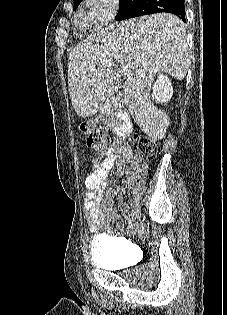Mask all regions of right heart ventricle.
<instances>
[{"mask_svg":"<svg viewBox=\"0 0 227 315\" xmlns=\"http://www.w3.org/2000/svg\"><path fill=\"white\" fill-rule=\"evenodd\" d=\"M91 18L90 15L84 11L80 10L77 12L75 17V24L81 31H86L91 27Z\"/></svg>","mask_w":227,"mask_h":315,"instance_id":"obj_1","label":"right heart ventricle"}]
</instances>
